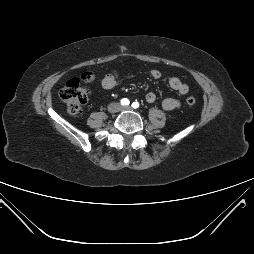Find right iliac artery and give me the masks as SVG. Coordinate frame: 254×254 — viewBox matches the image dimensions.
I'll return each instance as SVG.
<instances>
[{"instance_id":"right-iliac-artery-1","label":"right iliac artery","mask_w":254,"mask_h":254,"mask_svg":"<svg viewBox=\"0 0 254 254\" xmlns=\"http://www.w3.org/2000/svg\"><path fill=\"white\" fill-rule=\"evenodd\" d=\"M129 103H130L129 100L126 99V98H124V99L121 100V105H123V106L129 105Z\"/></svg>"}]
</instances>
